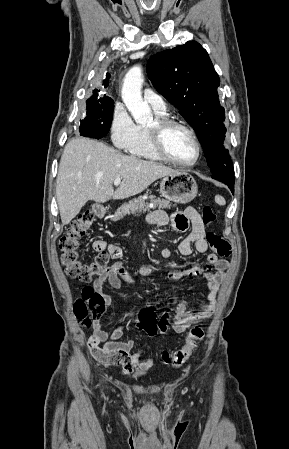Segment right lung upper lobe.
<instances>
[{"label": "right lung upper lobe", "instance_id": "1", "mask_svg": "<svg viewBox=\"0 0 289 449\" xmlns=\"http://www.w3.org/2000/svg\"><path fill=\"white\" fill-rule=\"evenodd\" d=\"M109 76H110L109 74L106 75L107 78H109ZM103 84H104V87H107L108 84H109L108 79H105V80L103 81ZM97 91H98V90L95 89V90L93 91L94 94H93L91 97L98 96ZM102 98H104V99H111L110 97H108V96H106V95H104V97H102Z\"/></svg>", "mask_w": 289, "mask_h": 449}]
</instances>
